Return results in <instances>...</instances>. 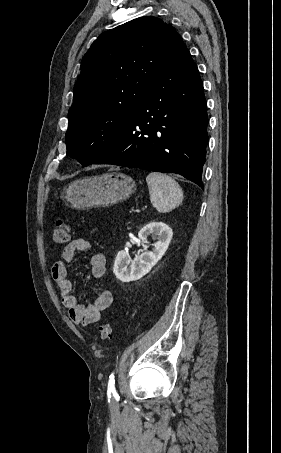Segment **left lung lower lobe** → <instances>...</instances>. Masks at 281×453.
I'll list each match as a JSON object with an SVG mask.
<instances>
[{"label":"left lung lower lobe","mask_w":281,"mask_h":453,"mask_svg":"<svg viewBox=\"0 0 281 453\" xmlns=\"http://www.w3.org/2000/svg\"><path fill=\"white\" fill-rule=\"evenodd\" d=\"M207 124L203 83L178 35L126 127L93 164L176 173L204 188Z\"/></svg>","instance_id":"1"}]
</instances>
